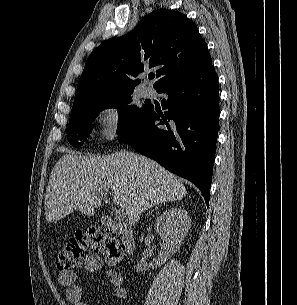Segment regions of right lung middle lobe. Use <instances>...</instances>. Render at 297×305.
I'll list each match as a JSON object with an SVG mask.
<instances>
[{
	"mask_svg": "<svg viewBox=\"0 0 297 305\" xmlns=\"http://www.w3.org/2000/svg\"><path fill=\"white\" fill-rule=\"evenodd\" d=\"M132 93L133 90L123 91L105 97L92 98L74 103L67 131V139L70 144L73 146L83 144V142H78L76 134H80V139L86 140V137L92 130L91 123L103 109L118 108L119 120L117 134H120L140 121L146 115L151 105L145 104L142 107L132 105Z\"/></svg>",
	"mask_w": 297,
	"mask_h": 305,
	"instance_id": "obj_1",
	"label": "right lung middle lobe"
}]
</instances>
